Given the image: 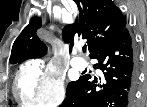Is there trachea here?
Returning a JSON list of instances; mask_svg holds the SVG:
<instances>
[{
	"label": "trachea",
	"instance_id": "1",
	"mask_svg": "<svg viewBox=\"0 0 147 107\" xmlns=\"http://www.w3.org/2000/svg\"><path fill=\"white\" fill-rule=\"evenodd\" d=\"M83 51H86V46H83Z\"/></svg>",
	"mask_w": 147,
	"mask_h": 107
}]
</instances>
